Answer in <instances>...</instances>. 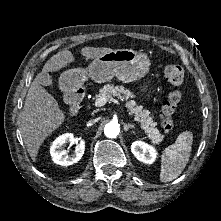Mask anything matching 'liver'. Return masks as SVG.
<instances>
[{
	"mask_svg": "<svg viewBox=\"0 0 221 221\" xmlns=\"http://www.w3.org/2000/svg\"><path fill=\"white\" fill-rule=\"evenodd\" d=\"M112 50L105 47H84L81 49V55L89 60ZM74 60L71 51H60L45 63L41 73L56 72ZM41 73L36 76L29 87L20 125L23 141L34 162L44 140L58 129L66 119L65 112L59 108L57 100L40 85Z\"/></svg>",
	"mask_w": 221,
	"mask_h": 221,
	"instance_id": "6515ba94",
	"label": "liver"
}]
</instances>
